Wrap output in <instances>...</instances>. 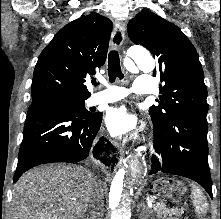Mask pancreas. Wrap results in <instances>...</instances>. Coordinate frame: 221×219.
<instances>
[{
  "mask_svg": "<svg viewBox=\"0 0 221 219\" xmlns=\"http://www.w3.org/2000/svg\"><path fill=\"white\" fill-rule=\"evenodd\" d=\"M154 212L159 219H178L183 213V209L167 208L164 204L154 205Z\"/></svg>",
  "mask_w": 221,
  "mask_h": 219,
  "instance_id": "obj_1",
  "label": "pancreas"
}]
</instances>
